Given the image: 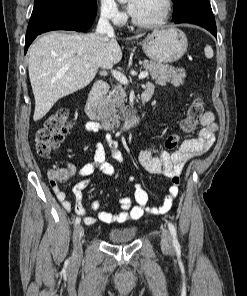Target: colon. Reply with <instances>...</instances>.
<instances>
[{"instance_id": "5ec220e1", "label": "colon", "mask_w": 247, "mask_h": 296, "mask_svg": "<svg viewBox=\"0 0 247 296\" xmlns=\"http://www.w3.org/2000/svg\"><path fill=\"white\" fill-rule=\"evenodd\" d=\"M204 114L203 100L196 96L189 105L185 117L182 119L180 128L185 134L194 131L197 123ZM73 122L66 110H59L50 117H48L43 125L37 130L35 136L36 151L41 157H49L56 149L60 147L64 136L72 128ZM180 141L179 134L170 135L165 147L168 150L175 149ZM50 178L53 184L64 182L69 178L67 169L54 168L50 171ZM175 183H179V178H174Z\"/></svg>"}]
</instances>
